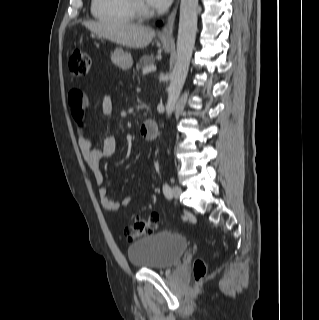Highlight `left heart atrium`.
<instances>
[{"mask_svg":"<svg viewBox=\"0 0 319 320\" xmlns=\"http://www.w3.org/2000/svg\"><path fill=\"white\" fill-rule=\"evenodd\" d=\"M148 4L157 9L167 8L172 0H147Z\"/></svg>","mask_w":319,"mask_h":320,"instance_id":"39dd6f15","label":"left heart atrium"}]
</instances>
